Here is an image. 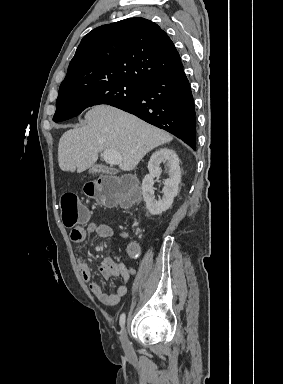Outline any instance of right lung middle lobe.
<instances>
[{"mask_svg":"<svg viewBox=\"0 0 283 384\" xmlns=\"http://www.w3.org/2000/svg\"><path fill=\"white\" fill-rule=\"evenodd\" d=\"M141 85L126 80L59 88L53 121L61 122L79 115L87 107L98 104L115 105L136 98Z\"/></svg>","mask_w":283,"mask_h":384,"instance_id":"right-lung-middle-lobe-1","label":"right lung middle lobe"}]
</instances>
